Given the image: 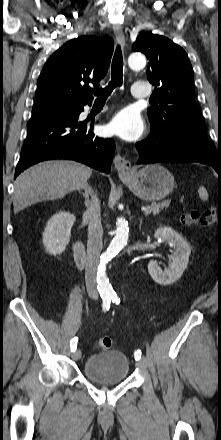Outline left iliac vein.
<instances>
[{
	"label": "left iliac vein",
	"mask_w": 221,
	"mask_h": 440,
	"mask_svg": "<svg viewBox=\"0 0 221 440\" xmlns=\"http://www.w3.org/2000/svg\"><path fill=\"white\" fill-rule=\"evenodd\" d=\"M136 366L139 367V368H142V367L144 366V361H142V360H137V361H136Z\"/></svg>",
	"instance_id": "left-iliac-vein-1"
}]
</instances>
